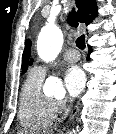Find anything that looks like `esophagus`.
Listing matches in <instances>:
<instances>
[{
    "instance_id": "obj_1",
    "label": "esophagus",
    "mask_w": 116,
    "mask_h": 134,
    "mask_svg": "<svg viewBox=\"0 0 116 134\" xmlns=\"http://www.w3.org/2000/svg\"><path fill=\"white\" fill-rule=\"evenodd\" d=\"M79 109H80V101L77 102V104L75 105V107L71 111L69 119H73L76 116V114L78 113Z\"/></svg>"
}]
</instances>
